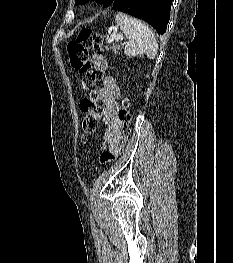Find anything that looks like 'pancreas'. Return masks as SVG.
Masks as SVG:
<instances>
[{
  "label": "pancreas",
  "instance_id": "1",
  "mask_svg": "<svg viewBox=\"0 0 233 263\" xmlns=\"http://www.w3.org/2000/svg\"><path fill=\"white\" fill-rule=\"evenodd\" d=\"M121 48L119 44L113 43L111 46H107V50H111L115 55L118 53V50Z\"/></svg>",
  "mask_w": 233,
  "mask_h": 263
}]
</instances>
